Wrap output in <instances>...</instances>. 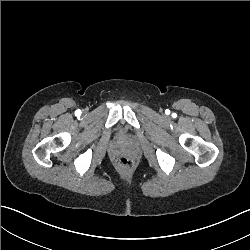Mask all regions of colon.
<instances>
[{"label": "colon", "mask_w": 250, "mask_h": 250, "mask_svg": "<svg viewBox=\"0 0 250 250\" xmlns=\"http://www.w3.org/2000/svg\"><path fill=\"white\" fill-rule=\"evenodd\" d=\"M115 165L120 171L126 173H131L136 168L135 161L125 155L118 156L115 160Z\"/></svg>", "instance_id": "obj_1"}]
</instances>
